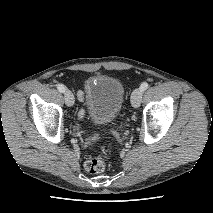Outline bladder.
<instances>
[{
    "label": "bladder",
    "mask_w": 213,
    "mask_h": 213,
    "mask_svg": "<svg viewBox=\"0 0 213 213\" xmlns=\"http://www.w3.org/2000/svg\"><path fill=\"white\" fill-rule=\"evenodd\" d=\"M86 108L97 124L114 122L122 109L125 90L122 82L110 75L97 74L84 82Z\"/></svg>",
    "instance_id": "1"
}]
</instances>
